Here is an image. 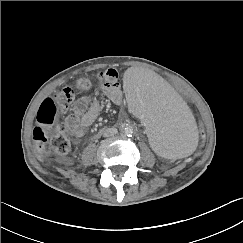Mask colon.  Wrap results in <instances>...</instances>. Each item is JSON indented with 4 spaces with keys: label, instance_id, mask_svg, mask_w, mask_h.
<instances>
[{
    "label": "colon",
    "instance_id": "1",
    "mask_svg": "<svg viewBox=\"0 0 243 243\" xmlns=\"http://www.w3.org/2000/svg\"><path fill=\"white\" fill-rule=\"evenodd\" d=\"M90 82L86 79H80L75 84V90L65 87L53 94L52 97L45 99L37 114V125L33 129V145L36 152L40 155L47 153L49 146L59 154H66L71 148L70 139L65 134V128L62 125L56 126V133L49 142L50 129L54 123L58 111H66L74 100L75 91L77 93H86L90 89ZM197 129V144L194 151L197 154L202 153L205 148L207 130L204 121L201 118L195 121Z\"/></svg>",
    "mask_w": 243,
    "mask_h": 243
}]
</instances>
